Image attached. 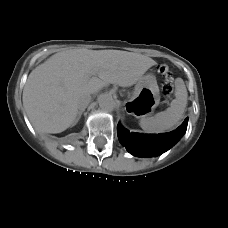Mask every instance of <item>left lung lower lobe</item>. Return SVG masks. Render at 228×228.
Wrapping results in <instances>:
<instances>
[{
	"mask_svg": "<svg viewBox=\"0 0 228 228\" xmlns=\"http://www.w3.org/2000/svg\"><path fill=\"white\" fill-rule=\"evenodd\" d=\"M188 118L174 131L163 134L130 133L120 124L117 134L120 143L129 153L138 157L157 156L170 149L186 132Z\"/></svg>",
	"mask_w": 228,
	"mask_h": 228,
	"instance_id": "left-lung-lower-lobe-1",
	"label": "left lung lower lobe"
}]
</instances>
